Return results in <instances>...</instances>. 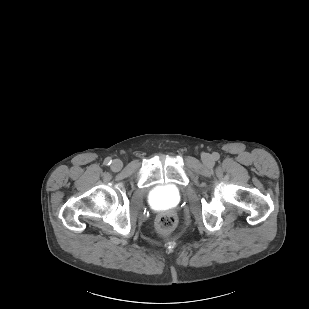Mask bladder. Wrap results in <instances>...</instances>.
Listing matches in <instances>:
<instances>
[{
  "instance_id": "31cf9c89",
  "label": "bladder",
  "mask_w": 309,
  "mask_h": 309,
  "mask_svg": "<svg viewBox=\"0 0 309 309\" xmlns=\"http://www.w3.org/2000/svg\"><path fill=\"white\" fill-rule=\"evenodd\" d=\"M180 200L179 190L171 184L158 186L150 193V202L154 207L176 205Z\"/></svg>"
}]
</instances>
